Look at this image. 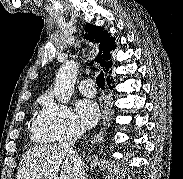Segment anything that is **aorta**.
<instances>
[{"label":"aorta","instance_id":"1","mask_svg":"<svg viewBox=\"0 0 183 179\" xmlns=\"http://www.w3.org/2000/svg\"><path fill=\"white\" fill-rule=\"evenodd\" d=\"M77 74L78 63L74 60L67 61L60 67L54 83V95L58 101L66 103L70 100Z\"/></svg>","mask_w":183,"mask_h":179}]
</instances>
